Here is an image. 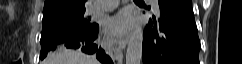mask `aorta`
Segmentation results:
<instances>
[{
  "mask_svg": "<svg viewBox=\"0 0 242 64\" xmlns=\"http://www.w3.org/2000/svg\"><path fill=\"white\" fill-rule=\"evenodd\" d=\"M143 29L137 26L133 31L127 46L126 64H140L142 60Z\"/></svg>",
  "mask_w": 242,
  "mask_h": 64,
  "instance_id": "obj_1",
  "label": "aorta"
}]
</instances>
